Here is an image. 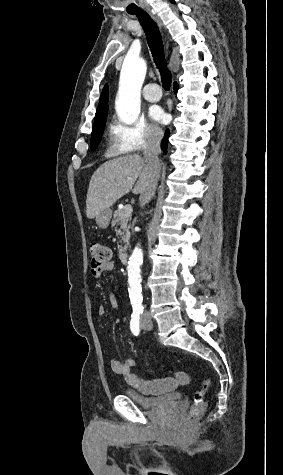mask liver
Segmentation results:
<instances>
[{
	"mask_svg": "<svg viewBox=\"0 0 283 475\" xmlns=\"http://www.w3.org/2000/svg\"><path fill=\"white\" fill-rule=\"evenodd\" d=\"M147 164L139 154L115 158L102 164L94 172L86 200V216L93 220L103 210H108L119 198L132 190L133 194H145L149 176L144 170Z\"/></svg>",
	"mask_w": 283,
	"mask_h": 475,
	"instance_id": "6515ba94",
	"label": "liver"
}]
</instances>
